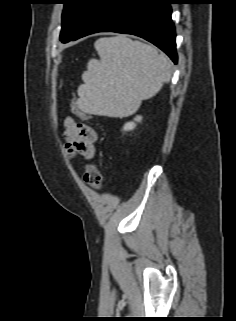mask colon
Listing matches in <instances>:
<instances>
[{
    "label": "colon",
    "instance_id": "5ec220e1",
    "mask_svg": "<svg viewBox=\"0 0 236 321\" xmlns=\"http://www.w3.org/2000/svg\"><path fill=\"white\" fill-rule=\"evenodd\" d=\"M71 111L80 118L87 119L89 115L85 113L79 106L75 97L70 101ZM84 180L91 188L99 190L102 186V174L97 164L89 163L85 167Z\"/></svg>",
    "mask_w": 236,
    "mask_h": 321
}]
</instances>
